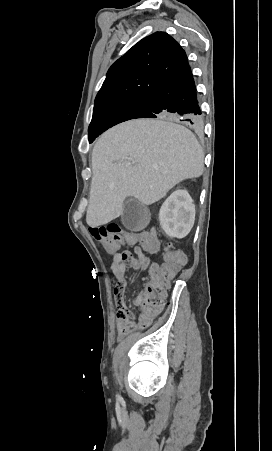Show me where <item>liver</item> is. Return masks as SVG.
I'll return each mask as SVG.
<instances>
[{"instance_id": "liver-1", "label": "liver", "mask_w": 272, "mask_h": 451, "mask_svg": "<svg viewBox=\"0 0 272 451\" xmlns=\"http://www.w3.org/2000/svg\"><path fill=\"white\" fill-rule=\"evenodd\" d=\"M177 120H129L98 138L92 152L88 226L119 218L128 196L150 206L182 180L202 176L203 150L188 128L174 124Z\"/></svg>"}]
</instances>
